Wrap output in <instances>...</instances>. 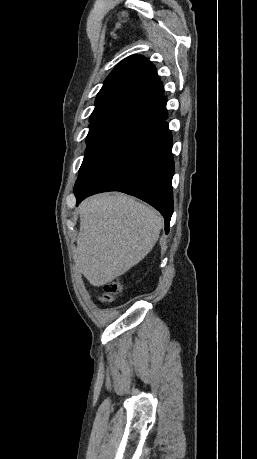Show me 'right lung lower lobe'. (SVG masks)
Here are the masks:
<instances>
[{
    "mask_svg": "<svg viewBox=\"0 0 257 459\" xmlns=\"http://www.w3.org/2000/svg\"><path fill=\"white\" fill-rule=\"evenodd\" d=\"M166 119V97L128 118L104 150L79 171L74 186L77 205L95 193L124 192L155 207L163 215L168 233L174 161Z\"/></svg>",
    "mask_w": 257,
    "mask_h": 459,
    "instance_id": "1",
    "label": "right lung lower lobe"
}]
</instances>
